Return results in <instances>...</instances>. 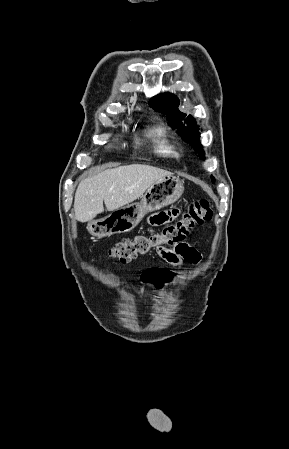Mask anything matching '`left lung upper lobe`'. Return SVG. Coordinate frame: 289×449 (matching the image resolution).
I'll return each mask as SVG.
<instances>
[{"label": "left lung upper lobe", "instance_id": "1", "mask_svg": "<svg viewBox=\"0 0 289 449\" xmlns=\"http://www.w3.org/2000/svg\"><path fill=\"white\" fill-rule=\"evenodd\" d=\"M149 105L155 110L165 114L169 120L168 124L173 128H179L183 135L182 138L190 142L194 149L199 153V156L202 159L204 158L205 155L199 141L200 133L196 121L191 115L186 117V114L181 113L178 110L179 99L175 95L171 93L157 95L150 100ZM211 178L214 182V178Z\"/></svg>", "mask_w": 289, "mask_h": 449}]
</instances>
